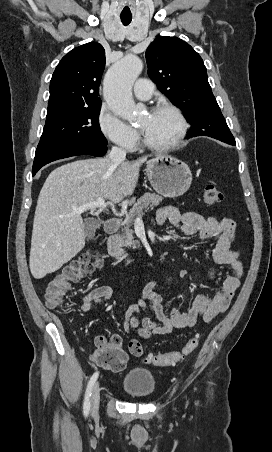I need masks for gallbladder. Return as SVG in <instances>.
I'll return each instance as SVG.
<instances>
[{"instance_id": "bac80fb5", "label": "gallbladder", "mask_w": 272, "mask_h": 452, "mask_svg": "<svg viewBox=\"0 0 272 452\" xmlns=\"http://www.w3.org/2000/svg\"><path fill=\"white\" fill-rule=\"evenodd\" d=\"M100 224L94 219H87L84 223L85 236L91 238L95 235V231L99 228Z\"/></svg>"}]
</instances>
